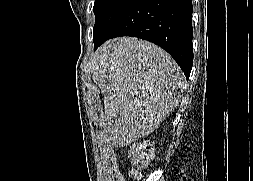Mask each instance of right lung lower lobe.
<instances>
[{"label": "right lung lower lobe", "instance_id": "1", "mask_svg": "<svg viewBox=\"0 0 253 181\" xmlns=\"http://www.w3.org/2000/svg\"><path fill=\"white\" fill-rule=\"evenodd\" d=\"M191 0H132L98 36L94 49L108 39L133 36L159 45L178 63L187 79L193 65Z\"/></svg>", "mask_w": 253, "mask_h": 181}]
</instances>
